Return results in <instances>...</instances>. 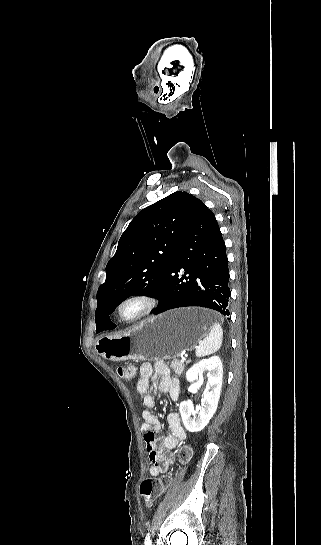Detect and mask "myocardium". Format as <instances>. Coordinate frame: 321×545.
<instances>
[{"label":"myocardium","mask_w":321,"mask_h":545,"mask_svg":"<svg viewBox=\"0 0 321 545\" xmlns=\"http://www.w3.org/2000/svg\"><path fill=\"white\" fill-rule=\"evenodd\" d=\"M157 298L147 292H134L124 296L116 307L118 318L127 324H134L150 316L158 307ZM135 308V313L128 315L127 308Z\"/></svg>","instance_id":"1"}]
</instances>
